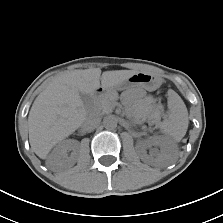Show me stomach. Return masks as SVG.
<instances>
[{
  "instance_id": "obj_1",
  "label": "stomach",
  "mask_w": 223,
  "mask_h": 223,
  "mask_svg": "<svg viewBox=\"0 0 223 223\" xmlns=\"http://www.w3.org/2000/svg\"><path fill=\"white\" fill-rule=\"evenodd\" d=\"M162 84L161 78L144 72L133 74L127 81L118 84L117 86L104 90H129L133 88H142L147 91H154Z\"/></svg>"
}]
</instances>
